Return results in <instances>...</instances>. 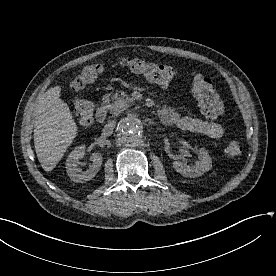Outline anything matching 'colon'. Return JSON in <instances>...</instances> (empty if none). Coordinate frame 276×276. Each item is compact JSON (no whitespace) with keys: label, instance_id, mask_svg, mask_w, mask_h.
<instances>
[{"label":"colon","instance_id":"colon-1","mask_svg":"<svg viewBox=\"0 0 276 276\" xmlns=\"http://www.w3.org/2000/svg\"><path fill=\"white\" fill-rule=\"evenodd\" d=\"M120 65L158 85H167L176 77V71L172 67L139 58H122ZM103 71L104 66L101 64L87 66L72 81V89L79 91L86 88L94 83ZM192 87L203 114L209 119H215L220 116L223 111V103L216 93L212 82L200 74H195ZM73 110L80 124L88 125L92 122L94 105L90 100L77 98L73 102ZM241 152L242 147L238 140H227L224 146L225 157L233 159L238 157Z\"/></svg>","mask_w":276,"mask_h":276}]
</instances>
